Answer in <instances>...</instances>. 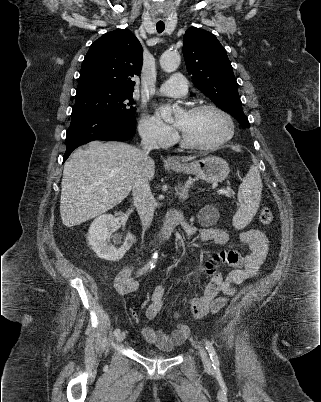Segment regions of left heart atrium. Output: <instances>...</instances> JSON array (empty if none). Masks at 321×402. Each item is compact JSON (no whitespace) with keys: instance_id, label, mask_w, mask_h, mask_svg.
I'll return each instance as SVG.
<instances>
[{"instance_id":"1","label":"left heart atrium","mask_w":321,"mask_h":402,"mask_svg":"<svg viewBox=\"0 0 321 402\" xmlns=\"http://www.w3.org/2000/svg\"><path fill=\"white\" fill-rule=\"evenodd\" d=\"M169 111H170V109H169L168 106H161V107L157 110V116H158V117H162V116L168 114ZM177 126H178L179 128H181V126H182V121H181V120H178V121H177Z\"/></svg>"}]
</instances>
